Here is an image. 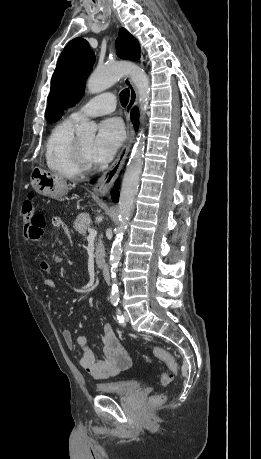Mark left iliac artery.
I'll return each instance as SVG.
<instances>
[{
  "mask_svg": "<svg viewBox=\"0 0 261 459\" xmlns=\"http://www.w3.org/2000/svg\"><path fill=\"white\" fill-rule=\"evenodd\" d=\"M117 319H118V322L121 324V325H125V322H124V317L123 315L121 314V311L120 309H117Z\"/></svg>",
  "mask_w": 261,
  "mask_h": 459,
  "instance_id": "left-iliac-artery-1",
  "label": "left iliac artery"
}]
</instances>
